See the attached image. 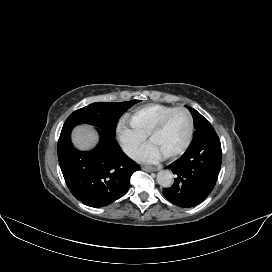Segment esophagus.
<instances>
[{
	"label": "esophagus",
	"instance_id": "34e87169",
	"mask_svg": "<svg viewBox=\"0 0 272 272\" xmlns=\"http://www.w3.org/2000/svg\"><path fill=\"white\" fill-rule=\"evenodd\" d=\"M143 170L148 171V172H156V171L160 170V168L145 166V167H143Z\"/></svg>",
	"mask_w": 272,
	"mask_h": 272
}]
</instances>
